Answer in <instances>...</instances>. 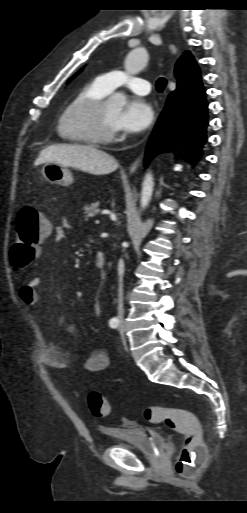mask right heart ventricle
I'll return each mask as SVG.
<instances>
[{
	"mask_svg": "<svg viewBox=\"0 0 247 513\" xmlns=\"http://www.w3.org/2000/svg\"><path fill=\"white\" fill-rule=\"evenodd\" d=\"M110 91L105 89L97 80H93L86 85H84L70 100L67 106L62 111L59 123H58V131L60 136L69 142L80 143L82 140L75 138L69 134H67L64 130V118L68 111L72 108L77 107L78 105L92 99H102L105 98Z\"/></svg>",
	"mask_w": 247,
	"mask_h": 513,
	"instance_id": "1",
	"label": "right heart ventricle"
}]
</instances>
